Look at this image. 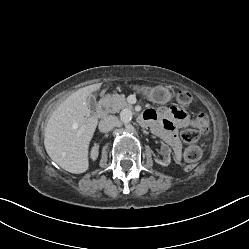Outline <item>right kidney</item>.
I'll list each match as a JSON object with an SVG mask.
<instances>
[{
  "label": "right kidney",
  "mask_w": 249,
  "mask_h": 249,
  "mask_svg": "<svg viewBox=\"0 0 249 249\" xmlns=\"http://www.w3.org/2000/svg\"><path fill=\"white\" fill-rule=\"evenodd\" d=\"M88 151L91 153V158L95 160L98 157V149L95 144H90L88 146Z\"/></svg>",
  "instance_id": "1"
}]
</instances>
